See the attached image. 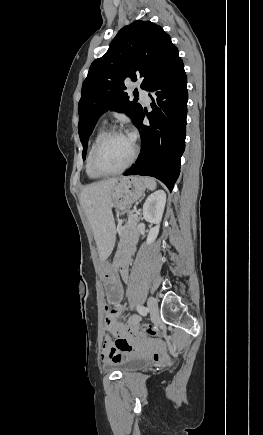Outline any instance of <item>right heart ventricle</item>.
I'll return each mask as SVG.
<instances>
[{"label": "right heart ventricle", "instance_id": "1", "mask_svg": "<svg viewBox=\"0 0 263 435\" xmlns=\"http://www.w3.org/2000/svg\"><path fill=\"white\" fill-rule=\"evenodd\" d=\"M103 133H104V127H100L98 129L97 133L95 134V136H94V138H93V140H92V142L90 144V147L88 149V153H87V157H86V163H85V171H86L87 176L90 179H99V178L102 177L101 175H99L96 172H94L93 169L91 168V165H90V154H91V150H92V147H93L94 143L97 141V139Z\"/></svg>", "mask_w": 263, "mask_h": 435}]
</instances>
